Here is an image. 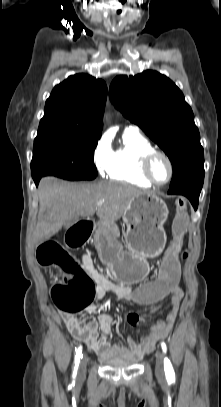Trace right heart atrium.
Returning a JSON list of instances; mask_svg holds the SVG:
<instances>
[{"label": "right heart atrium", "instance_id": "d8ad5b80", "mask_svg": "<svg viewBox=\"0 0 221 407\" xmlns=\"http://www.w3.org/2000/svg\"><path fill=\"white\" fill-rule=\"evenodd\" d=\"M112 154L110 140L106 137L100 138L93 150V163L98 173L103 177L109 174Z\"/></svg>", "mask_w": 221, "mask_h": 407}]
</instances>
